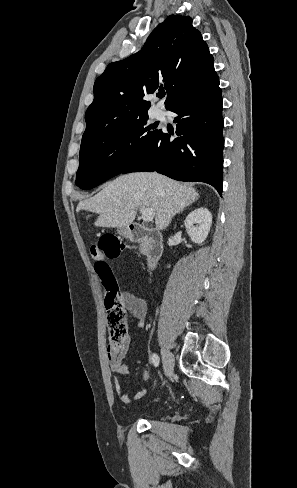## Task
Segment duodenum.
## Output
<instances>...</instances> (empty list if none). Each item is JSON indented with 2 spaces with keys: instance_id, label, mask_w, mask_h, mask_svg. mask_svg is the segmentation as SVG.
Wrapping results in <instances>:
<instances>
[{
  "instance_id": "410a0bca",
  "label": "duodenum",
  "mask_w": 297,
  "mask_h": 488,
  "mask_svg": "<svg viewBox=\"0 0 297 488\" xmlns=\"http://www.w3.org/2000/svg\"><path fill=\"white\" fill-rule=\"evenodd\" d=\"M125 235L130 241L143 245L147 266L149 269H153L163 255L162 235L158 231L141 224L128 225L125 229Z\"/></svg>"
}]
</instances>
